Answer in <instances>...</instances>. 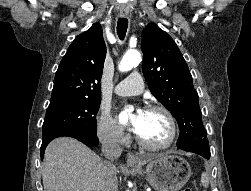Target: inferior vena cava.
<instances>
[{
    "label": "inferior vena cava",
    "mask_w": 251,
    "mask_h": 191,
    "mask_svg": "<svg viewBox=\"0 0 251 191\" xmlns=\"http://www.w3.org/2000/svg\"><path fill=\"white\" fill-rule=\"evenodd\" d=\"M117 137H119V131H111L110 135H106L102 139V153L107 159H111L109 163H112L116 157H120L122 153V147L119 145Z\"/></svg>",
    "instance_id": "1"
}]
</instances>
